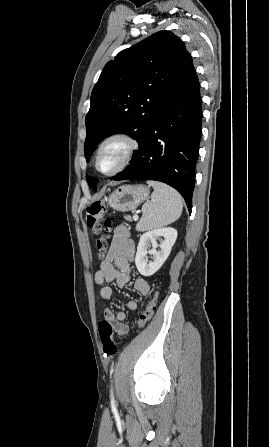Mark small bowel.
Instances as JSON below:
<instances>
[{
	"label": "small bowel",
	"instance_id": "obj_1",
	"mask_svg": "<svg viewBox=\"0 0 269 447\" xmlns=\"http://www.w3.org/2000/svg\"><path fill=\"white\" fill-rule=\"evenodd\" d=\"M135 255V245L129 237V232L125 226H118L114 232V238L107 252L106 258L101 263L95 274V282L101 285L100 296L104 300H119L115 296L113 289L106 283H113L119 288L125 287L130 281L131 261ZM135 291L146 296L150 291L148 282L144 279L136 278L133 281ZM126 306L129 310L135 311L138 308L136 300H128ZM104 319L111 321L112 328L117 333L123 335L127 333L128 327L124 324L126 314L124 311L114 312L111 309H105Z\"/></svg>",
	"mask_w": 269,
	"mask_h": 447
}]
</instances>
